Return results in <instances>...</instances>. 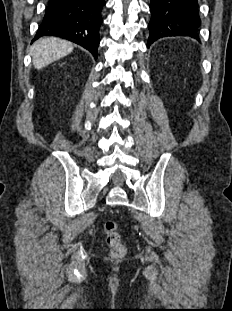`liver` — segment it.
<instances>
[{"label":"liver","mask_w":232,"mask_h":311,"mask_svg":"<svg viewBox=\"0 0 232 311\" xmlns=\"http://www.w3.org/2000/svg\"><path fill=\"white\" fill-rule=\"evenodd\" d=\"M73 44L57 37H46L37 40L31 47L33 65L42 69L50 63L73 51Z\"/></svg>","instance_id":"1"}]
</instances>
